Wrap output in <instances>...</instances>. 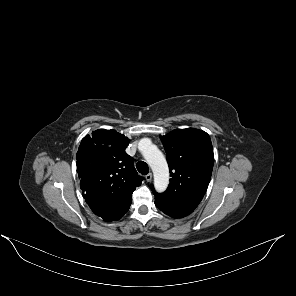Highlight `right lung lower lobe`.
Returning a JSON list of instances; mask_svg holds the SVG:
<instances>
[{
  "label": "right lung lower lobe",
  "mask_w": 296,
  "mask_h": 296,
  "mask_svg": "<svg viewBox=\"0 0 296 296\" xmlns=\"http://www.w3.org/2000/svg\"><path fill=\"white\" fill-rule=\"evenodd\" d=\"M131 200L102 205H91V210L104 221H116L120 219L129 209Z\"/></svg>",
  "instance_id": "right-lung-lower-lobe-1"
}]
</instances>
